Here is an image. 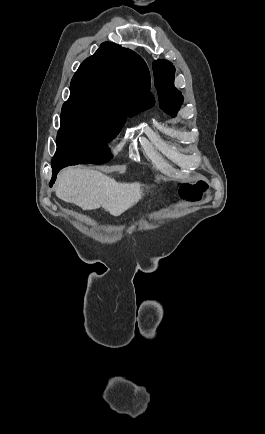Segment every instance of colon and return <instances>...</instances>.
I'll use <instances>...</instances> for the list:
<instances>
[{"mask_svg":"<svg viewBox=\"0 0 265 434\" xmlns=\"http://www.w3.org/2000/svg\"><path fill=\"white\" fill-rule=\"evenodd\" d=\"M202 187L203 182L201 180H192L190 184H187L186 181H181L178 186V191L179 193H187V202H206L207 194L200 193Z\"/></svg>","mask_w":265,"mask_h":434,"instance_id":"obj_1","label":"colon"}]
</instances>
